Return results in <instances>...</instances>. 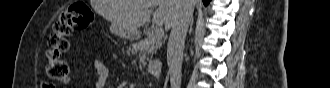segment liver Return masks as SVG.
<instances>
[{
    "label": "liver",
    "instance_id": "obj_1",
    "mask_svg": "<svg viewBox=\"0 0 330 88\" xmlns=\"http://www.w3.org/2000/svg\"><path fill=\"white\" fill-rule=\"evenodd\" d=\"M198 0H192L193 6ZM96 11L112 23L116 33L134 32L153 15L152 22L172 27L181 3L179 0H95ZM156 11L153 12V9Z\"/></svg>",
    "mask_w": 330,
    "mask_h": 88
}]
</instances>
